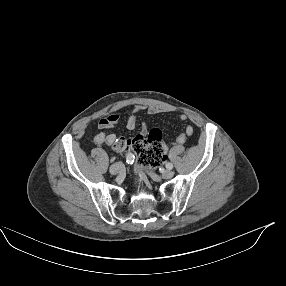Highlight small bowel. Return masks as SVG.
I'll list each match as a JSON object with an SVG mask.
<instances>
[{
	"label": "small bowel",
	"instance_id": "obj_1",
	"mask_svg": "<svg viewBox=\"0 0 286 286\" xmlns=\"http://www.w3.org/2000/svg\"><path fill=\"white\" fill-rule=\"evenodd\" d=\"M147 111L148 113L151 114H159L164 112L165 110L161 107L158 106H143V105H138L134 108L133 112L127 117L125 121V126L129 130L135 129L137 125V114L142 111ZM179 120L180 121H185L187 120L188 116L186 114H180L179 115ZM119 121V115L118 114H110L108 116H105L101 118L98 122V128L100 130H106L114 127ZM148 132V127L146 124H143L141 127V134L144 136ZM193 127L188 125L185 127L184 131L179 134L176 138V144L177 145H182L185 143L187 137L193 135ZM116 140V136L114 134H108L105 132H100L96 134L93 138V141L96 145H102V144H107V145H113L114 141ZM165 150H166V144L163 142Z\"/></svg>",
	"mask_w": 286,
	"mask_h": 286
}]
</instances>
